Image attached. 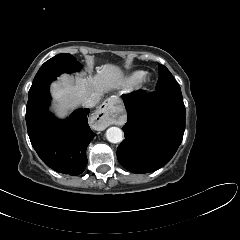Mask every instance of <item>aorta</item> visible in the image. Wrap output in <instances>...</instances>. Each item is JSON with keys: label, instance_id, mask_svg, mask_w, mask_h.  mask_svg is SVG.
I'll return each mask as SVG.
<instances>
[{"label": "aorta", "instance_id": "1", "mask_svg": "<svg viewBox=\"0 0 240 240\" xmlns=\"http://www.w3.org/2000/svg\"><path fill=\"white\" fill-rule=\"evenodd\" d=\"M106 138L111 143H119L123 140L122 130L118 127H110L106 131Z\"/></svg>", "mask_w": 240, "mask_h": 240}]
</instances>
